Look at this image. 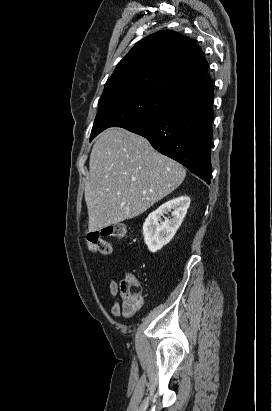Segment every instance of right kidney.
I'll return each mask as SVG.
<instances>
[{
  "instance_id": "right-kidney-1",
  "label": "right kidney",
  "mask_w": 272,
  "mask_h": 411,
  "mask_svg": "<svg viewBox=\"0 0 272 411\" xmlns=\"http://www.w3.org/2000/svg\"><path fill=\"white\" fill-rule=\"evenodd\" d=\"M190 202L188 196H180L162 204L148 215L143 224V235L150 252H157L171 241L187 213ZM171 210L172 218L162 221L163 215Z\"/></svg>"
}]
</instances>
